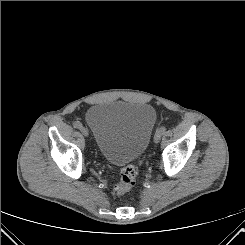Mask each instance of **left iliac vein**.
Instances as JSON below:
<instances>
[{
    "instance_id": "4c4485c4",
    "label": "left iliac vein",
    "mask_w": 245,
    "mask_h": 245,
    "mask_svg": "<svg viewBox=\"0 0 245 245\" xmlns=\"http://www.w3.org/2000/svg\"><path fill=\"white\" fill-rule=\"evenodd\" d=\"M161 133L159 132H156L155 135H154V142L155 143H159L160 142V139H161Z\"/></svg>"
}]
</instances>
